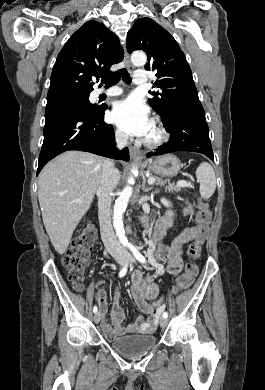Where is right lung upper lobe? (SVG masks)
<instances>
[{
  "label": "right lung upper lobe",
  "instance_id": "obj_1",
  "mask_svg": "<svg viewBox=\"0 0 265 390\" xmlns=\"http://www.w3.org/2000/svg\"><path fill=\"white\" fill-rule=\"evenodd\" d=\"M123 58V48L113 32L95 20L86 22L58 54L47 100L90 94L92 79L111 74V66Z\"/></svg>",
  "mask_w": 265,
  "mask_h": 390
}]
</instances>
